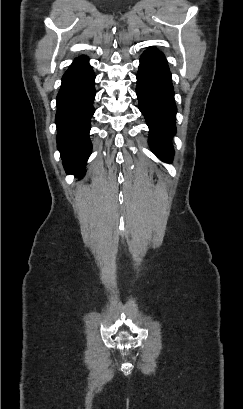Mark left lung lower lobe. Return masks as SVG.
Instances as JSON below:
<instances>
[{"instance_id": "1", "label": "left lung lower lobe", "mask_w": 243, "mask_h": 409, "mask_svg": "<svg viewBox=\"0 0 243 409\" xmlns=\"http://www.w3.org/2000/svg\"><path fill=\"white\" fill-rule=\"evenodd\" d=\"M136 93L139 109L150 129L149 145L161 160L170 162L174 154L171 137L176 132L177 108L167 61L155 48L141 55Z\"/></svg>"}]
</instances>
